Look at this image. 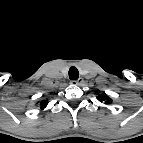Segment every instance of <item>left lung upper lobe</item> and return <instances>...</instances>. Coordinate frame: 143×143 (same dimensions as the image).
Returning a JSON list of instances; mask_svg holds the SVG:
<instances>
[{
  "mask_svg": "<svg viewBox=\"0 0 143 143\" xmlns=\"http://www.w3.org/2000/svg\"><path fill=\"white\" fill-rule=\"evenodd\" d=\"M97 92H99V91H97ZM98 98H99V100H100V102H105V104H110V103H112V99L111 98H109L107 95H99L98 96Z\"/></svg>",
  "mask_w": 143,
  "mask_h": 143,
  "instance_id": "1",
  "label": "left lung upper lobe"
}]
</instances>
